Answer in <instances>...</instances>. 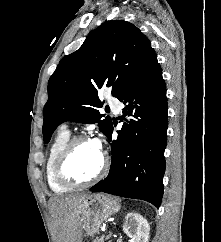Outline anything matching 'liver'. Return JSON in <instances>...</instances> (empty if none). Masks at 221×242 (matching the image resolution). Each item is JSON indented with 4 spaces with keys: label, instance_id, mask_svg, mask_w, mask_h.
I'll list each match as a JSON object with an SVG mask.
<instances>
[{
    "label": "liver",
    "instance_id": "obj_1",
    "mask_svg": "<svg viewBox=\"0 0 221 242\" xmlns=\"http://www.w3.org/2000/svg\"><path fill=\"white\" fill-rule=\"evenodd\" d=\"M88 196L84 193L50 199V212L56 242H82L79 209Z\"/></svg>",
    "mask_w": 221,
    "mask_h": 242
}]
</instances>
